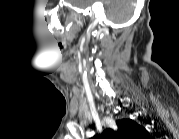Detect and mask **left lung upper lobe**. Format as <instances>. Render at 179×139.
I'll list each match as a JSON object with an SVG mask.
<instances>
[{"label": "left lung upper lobe", "mask_w": 179, "mask_h": 139, "mask_svg": "<svg viewBox=\"0 0 179 139\" xmlns=\"http://www.w3.org/2000/svg\"><path fill=\"white\" fill-rule=\"evenodd\" d=\"M118 131L106 129L98 137L99 139H142L148 135L145 128L130 119H122L117 122Z\"/></svg>", "instance_id": "obj_1"}]
</instances>
